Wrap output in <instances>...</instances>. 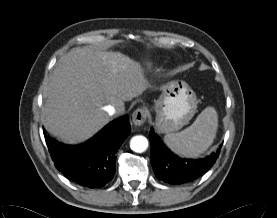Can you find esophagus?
Returning <instances> with one entry per match:
<instances>
[{"label": "esophagus", "instance_id": "1", "mask_svg": "<svg viewBox=\"0 0 277 218\" xmlns=\"http://www.w3.org/2000/svg\"><path fill=\"white\" fill-rule=\"evenodd\" d=\"M148 116V110L146 108H138L132 114V120L135 126H141L145 123Z\"/></svg>", "mask_w": 277, "mask_h": 218}]
</instances>
